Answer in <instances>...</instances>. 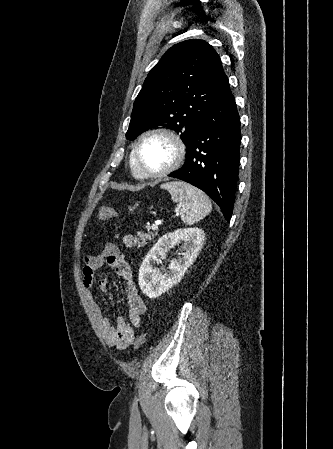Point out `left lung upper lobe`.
Here are the masks:
<instances>
[{
  "instance_id": "obj_1",
  "label": "left lung upper lobe",
  "mask_w": 333,
  "mask_h": 449,
  "mask_svg": "<svg viewBox=\"0 0 333 449\" xmlns=\"http://www.w3.org/2000/svg\"><path fill=\"white\" fill-rule=\"evenodd\" d=\"M227 83L220 57L206 41L172 46L145 79L126 138L165 126L180 134L188 150L209 105Z\"/></svg>"
}]
</instances>
